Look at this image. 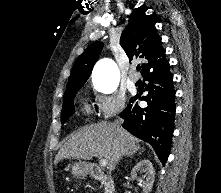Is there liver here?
Segmentation results:
<instances>
[{
  "label": "liver",
  "mask_w": 221,
  "mask_h": 193,
  "mask_svg": "<svg viewBox=\"0 0 221 193\" xmlns=\"http://www.w3.org/2000/svg\"><path fill=\"white\" fill-rule=\"evenodd\" d=\"M138 139L115 124L100 122L86 125L75 132L60 148L55 163L63 159L91 160L98 157L107 160L114 170L118 155L131 156L139 151Z\"/></svg>",
  "instance_id": "6515ba94"
}]
</instances>
